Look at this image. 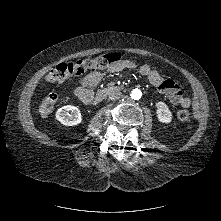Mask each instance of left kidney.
Wrapping results in <instances>:
<instances>
[{"label":"left kidney","mask_w":221,"mask_h":221,"mask_svg":"<svg viewBox=\"0 0 221 221\" xmlns=\"http://www.w3.org/2000/svg\"><path fill=\"white\" fill-rule=\"evenodd\" d=\"M156 114L160 122L170 123L172 120V113L170 112L168 106L164 102L156 103Z\"/></svg>","instance_id":"obj_1"}]
</instances>
